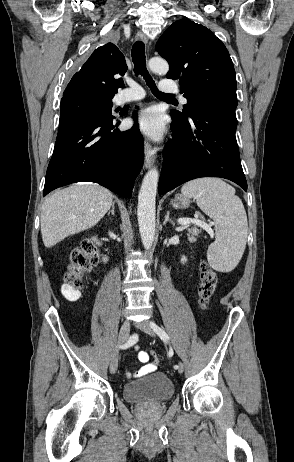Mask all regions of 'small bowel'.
<instances>
[{
    "label": "small bowel",
    "mask_w": 294,
    "mask_h": 462,
    "mask_svg": "<svg viewBox=\"0 0 294 462\" xmlns=\"http://www.w3.org/2000/svg\"><path fill=\"white\" fill-rule=\"evenodd\" d=\"M138 360L143 365L135 372H126V377H140L154 372L157 369V364L149 361V354L145 351H139Z\"/></svg>",
    "instance_id": "obj_1"
}]
</instances>
